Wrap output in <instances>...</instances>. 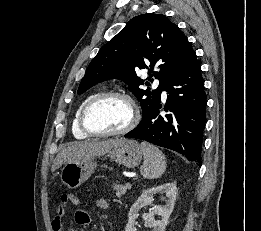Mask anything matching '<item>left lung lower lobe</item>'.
<instances>
[{"mask_svg":"<svg viewBox=\"0 0 261 231\" xmlns=\"http://www.w3.org/2000/svg\"><path fill=\"white\" fill-rule=\"evenodd\" d=\"M164 90L168 93L165 110L170 113L160 115L159 101L124 137L174 150L201 165L207 98L197 57L186 69L169 78Z\"/></svg>","mask_w":261,"mask_h":231,"instance_id":"obj_1","label":"left lung lower lobe"}]
</instances>
